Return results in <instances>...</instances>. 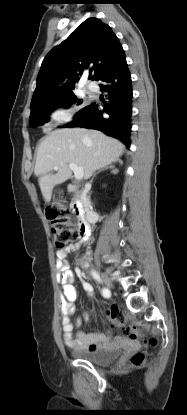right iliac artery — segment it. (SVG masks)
Wrapping results in <instances>:
<instances>
[{
    "instance_id": "1",
    "label": "right iliac artery",
    "mask_w": 187,
    "mask_h": 415,
    "mask_svg": "<svg viewBox=\"0 0 187 415\" xmlns=\"http://www.w3.org/2000/svg\"><path fill=\"white\" fill-rule=\"evenodd\" d=\"M91 273H92V276H93L94 279H96L99 282L101 281L100 276L95 271H92ZM102 295L105 298H108V297H110L111 292L108 289L104 288V289H102Z\"/></svg>"
}]
</instances>
